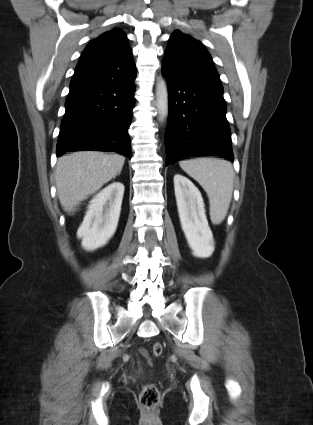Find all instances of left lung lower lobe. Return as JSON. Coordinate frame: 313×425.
Listing matches in <instances>:
<instances>
[{"label":"left lung lower lobe","instance_id":"obj_1","mask_svg":"<svg viewBox=\"0 0 313 425\" xmlns=\"http://www.w3.org/2000/svg\"><path fill=\"white\" fill-rule=\"evenodd\" d=\"M162 73L169 89L166 165L195 156H222L233 161L220 80L190 75L164 59Z\"/></svg>","mask_w":313,"mask_h":425}]
</instances>
